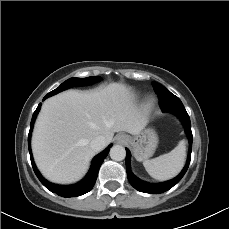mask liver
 <instances>
[{
	"label": "liver",
	"mask_w": 229,
	"mask_h": 229,
	"mask_svg": "<svg viewBox=\"0 0 229 229\" xmlns=\"http://www.w3.org/2000/svg\"><path fill=\"white\" fill-rule=\"evenodd\" d=\"M147 124L128 87L111 83L90 91L68 90L42 105L32 136L38 169L54 183L80 180L95 151L90 142L104 136L107 146L114 133L138 135Z\"/></svg>",
	"instance_id": "obj_1"
}]
</instances>
